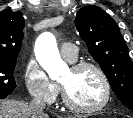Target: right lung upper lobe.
<instances>
[{
	"label": "right lung upper lobe",
	"instance_id": "right-lung-upper-lobe-1",
	"mask_svg": "<svg viewBox=\"0 0 133 118\" xmlns=\"http://www.w3.org/2000/svg\"><path fill=\"white\" fill-rule=\"evenodd\" d=\"M24 18L21 11L0 12V58L17 59L23 40Z\"/></svg>",
	"mask_w": 133,
	"mask_h": 118
}]
</instances>
